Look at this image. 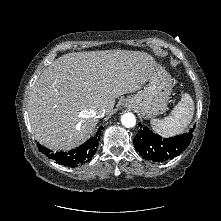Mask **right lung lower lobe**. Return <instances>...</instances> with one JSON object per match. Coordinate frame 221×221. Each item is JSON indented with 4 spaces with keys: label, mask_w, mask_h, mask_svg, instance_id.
Wrapping results in <instances>:
<instances>
[{
    "label": "right lung lower lobe",
    "mask_w": 221,
    "mask_h": 221,
    "mask_svg": "<svg viewBox=\"0 0 221 221\" xmlns=\"http://www.w3.org/2000/svg\"><path fill=\"white\" fill-rule=\"evenodd\" d=\"M101 130L96 133V135L90 138L83 145L70 150L69 152H57L51 153V151L39 144H37L39 150L45 154L50 159L55 160L57 163L68 166L76 167L88 162L93 155L96 153L100 139Z\"/></svg>",
    "instance_id": "right-lung-lower-lobe-1"
}]
</instances>
